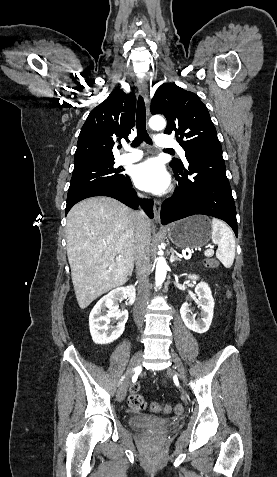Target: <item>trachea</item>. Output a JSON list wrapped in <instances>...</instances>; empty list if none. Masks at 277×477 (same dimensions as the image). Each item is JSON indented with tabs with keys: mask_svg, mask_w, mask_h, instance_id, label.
Segmentation results:
<instances>
[{
	"mask_svg": "<svg viewBox=\"0 0 277 477\" xmlns=\"http://www.w3.org/2000/svg\"><path fill=\"white\" fill-rule=\"evenodd\" d=\"M136 129H137V137L133 140L131 146L137 147L140 143L145 141L148 144H152V140L149 137L147 130H146V109L144 100L141 96L138 98L137 104V113H136ZM167 152H174L171 149H166Z\"/></svg>",
	"mask_w": 277,
	"mask_h": 477,
	"instance_id": "1",
	"label": "trachea"
}]
</instances>
